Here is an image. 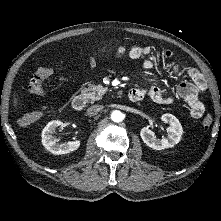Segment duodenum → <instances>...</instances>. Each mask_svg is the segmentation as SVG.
<instances>
[{
	"label": "duodenum",
	"mask_w": 221,
	"mask_h": 221,
	"mask_svg": "<svg viewBox=\"0 0 221 221\" xmlns=\"http://www.w3.org/2000/svg\"><path fill=\"white\" fill-rule=\"evenodd\" d=\"M128 98L132 102L139 101L137 94L132 90L129 92ZM85 105H86V101H85L84 97H82V96L78 95L72 99V108L75 111H78V112L82 111L85 108Z\"/></svg>",
	"instance_id": "1"
}]
</instances>
